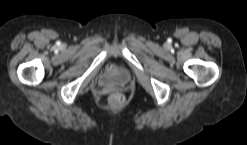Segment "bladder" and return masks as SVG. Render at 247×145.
I'll list each match as a JSON object with an SVG mask.
<instances>
[{
  "label": "bladder",
  "mask_w": 247,
  "mask_h": 145,
  "mask_svg": "<svg viewBox=\"0 0 247 145\" xmlns=\"http://www.w3.org/2000/svg\"><path fill=\"white\" fill-rule=\"evenodd\" d=\"M126 82H127V78L125 76H119L115 84L122 85L125 84Z\"/></svg>",
  "instance_id": "31cf9c89"
}]
</instances>
